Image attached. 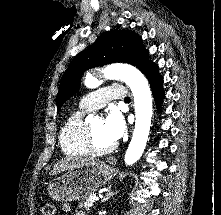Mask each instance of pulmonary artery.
I'll use <instances>...</instances> for the list:
<instances>
[{
    "label": "pulmonary artery",
    "mask_w": 221,
    "mask_h": 215,
    "mask_svg": "<svg viewBox=\"0 0 221 215\" xmlns=\"http://www.w3.org/2000/svg\"><path fill=\"white\" fill-rule=\"evenodd\" d=\"M126 90L121 86H108L94 91L80 101V107L88 111H96L113 99H125Z\"/></svg>",
    "instance_id": "obj_1"
}]
</instances>
